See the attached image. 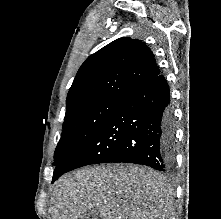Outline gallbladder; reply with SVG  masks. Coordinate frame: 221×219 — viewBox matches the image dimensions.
<instances>
[{
    "mask_svg": "<svg viewBox=\"0 0 221 219\" xmlns=\"http://www.w3.org/2000/svg\"><path fill=\"white\" fill-rule=\"evenodd\" d=\"M99 214L98 212L93 209V210H88L85 213H83L79 219H98Z\"/></svg>",
    "mask_w": 221,
    "mask_h": 219,
    "instance_id": "bac80fb5",
    "label": "gallbladder"
}]
</instances>
